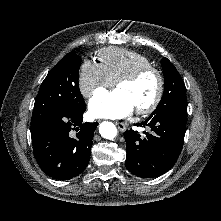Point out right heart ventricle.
I'll return each instance as SVG.
<instances>
[{"mask_svg": "<svg viewBox=\"0 0 221 221\" xmlns=\"http://www.w3.org/2000/svg\"><path fill=\"white\" fill-rule=\"evenodd\" d=\"M97 59L114 81L136 68L152 65L151 60L144 54L119 47H108L100 50Z\"/></svg>", "mask_w": 221, "mask_h": 221, "instance_id": "right-heart-ventricle-1", "label": "right heart ventricle"}]
</instances>
